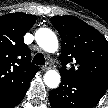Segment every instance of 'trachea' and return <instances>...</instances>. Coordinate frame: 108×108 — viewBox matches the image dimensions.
<instances>
[{"label":"trachea","instance_id":"3493384b","mask_svg":"<svg viewBox=\"0 0 108 108\" xmlns=\"http://www.w3.org/2000/svg\"><path fill=\"white\" fill-rule=\"evenodd\" d=\"M32 63L33 64H36V65H45V58H44V55L42 53H37L33 60H32Z\"/></svg>","mask_w":108,"mask_h":108}]
</instances>
